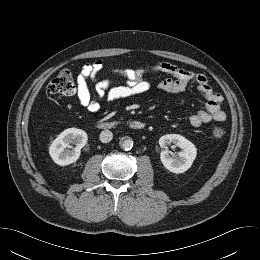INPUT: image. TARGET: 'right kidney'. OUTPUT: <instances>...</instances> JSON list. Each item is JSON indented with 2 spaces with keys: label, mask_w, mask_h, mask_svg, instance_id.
Returning a JSON list of instances; mask_svg holds the SVG:
<instances>
[{
  "label": "right kidney",
  "mask_w": 260,
  "mask_h": 260,
  "mask_svg": "<svg viewBox=\"0 0 260 260\" xmlns=\"http://www.w3.org/2000/svg\"><path fill=\"white\" fill-rule=\"evenodd\" d=\"M88 140L87 133L81 129L68 128L58 135L49 147V154L53 161L60 166L76 162L81 154V149ZM70 144L75 147L70 149Z\"/></svg>",
  "instance_id": "obj_1"
}]
</instances>
